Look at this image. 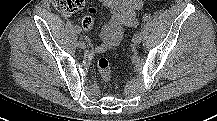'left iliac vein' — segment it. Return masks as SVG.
<instances>
[{
	"mask_svg": "<svg viewBox=\"0 0 217 121\" xmlns=\"http://www.w3.org/2000/svg\"><path fill=\"white\" fill-rule=\"evenodd\" d=\"M142 41V34L137 32L134 34L133 38H132V42L134 44H139Z\"/></svg>",
	"mask_w": 217,
	"mask_h": 121,
	"instance_id": "obj_1",
	"label": "left iliac vein"
}]
</instances>
